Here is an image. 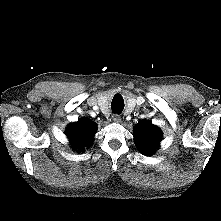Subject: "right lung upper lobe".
Returning <instances> with one entry per match:
<instances>
[{
  "label": "right lung upper lobe",
  "mask_w": 221,
  "mask_h": 221,
  "mask_svg": "<svg viewBox=\"0 0 221 221\" xmlns=\"http://www.w3.org/2000/svg\"><path fill=\"white\" fill-rule=\"evenodd\" d=\"M96 131V124L86 118L70 124L66 130V136L72 144V148L78 152H83L88 148L93 140Z\"/></svg>",
  "instance_id": "obj_1"
}]
</instances>
